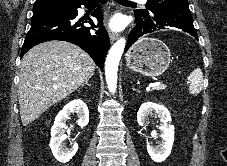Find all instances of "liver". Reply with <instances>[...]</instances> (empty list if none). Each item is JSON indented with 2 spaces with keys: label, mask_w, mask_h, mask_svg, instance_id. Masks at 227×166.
I'll return each mask as SVG.
<instances>
[{
  "label": "liver",
  "mask_w": 227,
  "mask_h": 166,
  "mask_svg": "<svg viewBox=\"0 0 227 166\" xmlns=\"http://www.w3.org/2000/svg\"><path fill=\"white\" fill-rule=\"evenodd\" d=\"M95 67L86 52L66 41H49L30 49L23 57L18 85L22 124L29 125L77 90Z\"/></svg>",
  "instance_id": "liver-1"
}]
</instances>
